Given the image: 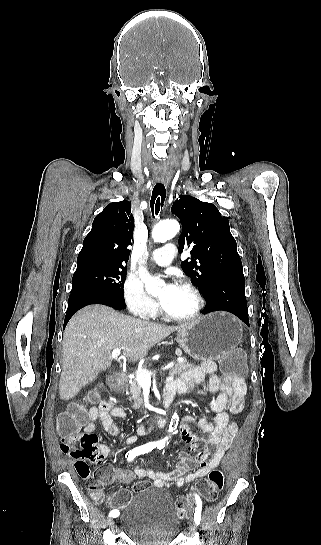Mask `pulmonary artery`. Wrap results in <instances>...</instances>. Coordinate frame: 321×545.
<instances>
[{"label": "pulmonary artery", "instance_id": "obj_1", "mask_svg": "<svg viewBox=\"0 0 321 545\" xmlns=\"http://www.w3.org/2000/svg\"><path fill=\"white\" fill-rule=\"evenodd\" d=\"M166 248L167 250H163V248L155 249L150 255V260L161 266L170 264L175 259L174 251L177 245L175 242L170 241L167 243Z\"/></svg>", "mask_w": 321, "mask_h": 545}]
</instances>
